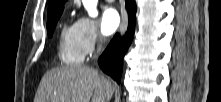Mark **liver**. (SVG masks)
<instances>
[{
    "label": "liver",
    "instance_id": "1",
    "mask_svg": "<svg viewBox=\"0 0 221 102\" xmlns=\"http://www.w3.org/2000/svg\"><path fill=\"white\" fill-rule=\"evenodd\" d=\"M113 86L98 70L88 66H64L43 76L34 102H109Z\"/></svg>",
    "mask_w": 221,
    "mask_h": 102
}]
</instances>
